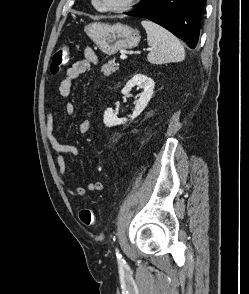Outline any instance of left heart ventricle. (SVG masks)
I'll return each mask as SVG.
<instances>
[{
  "label": "left heart ventricle",
  "mask_w": 249,
  "mask_h": 294,
  "mask_svg": "<svg viewBox=\"0 0 249 294\" xmlns=\"http://www.w3.org/2000/svg\"><path fill=\"white\" fill-rule=\"evenodd\" d=\"M126 0H99L103 6L117 7L123 4Z\"/></svg>",
  "instance_id": "obj_1"
}]
</instances>
